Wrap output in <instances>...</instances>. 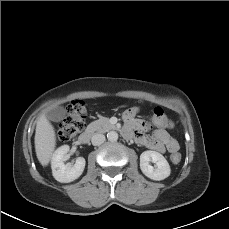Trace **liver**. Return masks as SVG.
Instances as JSON below:
<instances>
[{
	"label": "liver",
	"instance_id": "obj_1",
	"mask_svg": "<svg viewBox=\"0 0 229 229\" xmlns=\"http://www.w3.org/2000/svg\"><path fill=\"white\" fill-rule=\"evenodd\" d=\"M56 147V135L52 124L45 114H42L36 124L35 151L42 166H47Z\"/></svg>",
	"mask_w": 229,
	"mask_h": 229
}]
</instances>
